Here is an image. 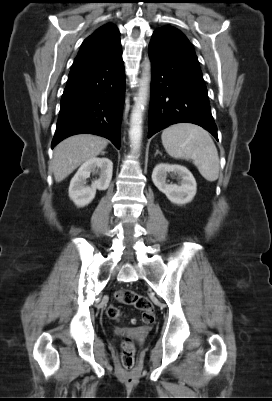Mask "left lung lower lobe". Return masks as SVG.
Returning a JSON list of instances; mask_svg holds the SVG:
<instances>
[{
    "instance_id": "obj_1",
    "label": "left lung lower lobe",
    "mask_w": 272,
    "mask_h": 401,
    "mask_svg": "<svg viewBox=\"0 0 272 401\" xmlns=\"http://www.w3.org/2000/svg\"><path fill=\"white\" fill-rule=\"evenodd\" d=\"M152 61L148 138L169 125L197 124L217 140L207 88L195 52L156 30L149 44Z\"/></svg>"
}]
</instances>
